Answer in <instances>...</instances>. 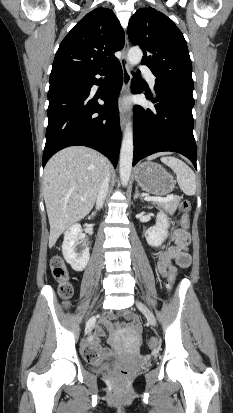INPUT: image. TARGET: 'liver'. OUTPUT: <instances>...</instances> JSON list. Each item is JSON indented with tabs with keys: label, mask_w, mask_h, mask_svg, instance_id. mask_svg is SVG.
I'll return each instance as SVG.
<instances>
[{
	"label": "liver",
	"mask_w": 233,
	"mask_h": 413,
	"mask_svg": "<svg viewBox=\"0 0 233 413\" xmlns=\"http://www.w3.org/2000/svg\"><path fill=\"white\" fill-rule=\"evenodd\" d=\"M160 155L163 153L150 159ZM108 168L102 154L84 146L65 148L47 162L43 195L50 224V248L66 228L92 210Z\"/></svg>",
	"instance_id": "obj_1"
}]
</instances>
